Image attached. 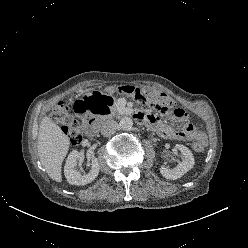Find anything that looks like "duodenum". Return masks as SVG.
Instances as JSON below:
<instances>
[{
  "instance_id": "obj_1",
  "label": "duodenum",
  "mask_w": 248,
  "mask_h": 248,
  "mask_svg": "<svg viewBox=\"0 0 248 248\" xmlns=\"http://www.w3.org/2000/svg\"><path fill=\"white\" fill-rule=\"evenodd\" d=\"M132 117L138 121L144 120V116L140 112H132ZM103 120L105 119H99L96 116H94L86 125V129H85L86 135L88 137H93L96 134L100 123Z\"/></svg>"
}]
</instances>
